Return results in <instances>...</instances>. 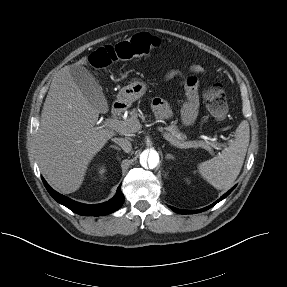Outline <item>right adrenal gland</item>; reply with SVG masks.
Here are the masks:
<instances>
[{"mask_svg":"<svg viewBox=\"0 0 287 287\" xmlns=\"http://www.w3.org/2000/svg\"><path fill=\"white\" fill-rule=\"evenodd\" d=\"M110 148H114L116 150H120V148L118 146H116V145H111Z\"/></svg>","mask_w":287,"mask_h":287,"instance_id":"right-adrenal-gland-1","label":"right adrenal gland"}]
</instances>
